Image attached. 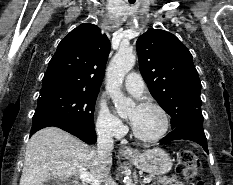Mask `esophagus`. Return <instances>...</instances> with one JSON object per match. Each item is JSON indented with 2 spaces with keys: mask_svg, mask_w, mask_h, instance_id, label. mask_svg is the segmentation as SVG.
Returning a JSON list of instances; mask_svg holds the SVG:
<instances>
[{
  "mask_svg": "<svg viewBox=\"0 0 233 185\" xmlns=\"http://www.w3.org/2000/svg\"><path fill=\"white\" fill-rule=\"evenodd\" d=\"M119 152L120 154L124 155V156H128V155H134L135 154V151L128 147V146H121L119 148Z\"/></svg>",
  "mask_w": 233,
  "mask_h": 185,
  "instance_id": "esophagus-1",
  "label": "esophagus"
}]
</instances>
